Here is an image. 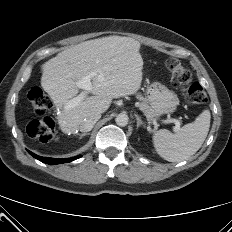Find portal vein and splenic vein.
I'll use <instances>...</instances> for the list:
<instances>
[{"label": "portal vein and splenic vein", "mask_w": 232, "mask_h": 232, "mask_svg": "<svg viewBox=\"0 0 232 232\" xmlns=\"http://www.w3.org/2000/svg\"><path fill=\"white\" fill-rule=\"evenodd\" d=\"M95 73H92L88 76H85L75 82L76 86L80 89H83L84 91L81 92L78 96L74 97L73 99L69 100L66 103V108L71 109L74 108L76 105H78L82 100H84L87 96V93L91 90V77H93ZM163 123H174L175 126L173 128L174 132H177L180 130V121L177 119H166L162 120Z\"/></svg>", "instance_id": "18ae733b"}]
</instances>
